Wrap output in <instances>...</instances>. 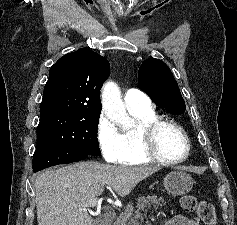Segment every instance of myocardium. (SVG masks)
Listing matches in <instances>:
<instances>
[{
    "instance_id": "f54148a6",
    "label": "myocardium",
    "mask_w": 237,
    "mask_h": 225,
    "mask_svg": "<svg viewBox=\"0 0 237 225\" xmlns=\"http://www.w3.org/2000/svg\"><path fill=\"white\" fill-rule=\"evenodd\" d=\"M165 128H173L176 131H178L183 137L186 144V152L182 157L176 159H170L164 157L161 154L158 144V137L160 132ZM138 134L144 154L152 161L165 165H174L183 162L190 155L191 152L190 138L186 133V131L179 124L175 122L157 119L148 124L143 125L139 129Z\"/></svg>"
}]
</instances>
